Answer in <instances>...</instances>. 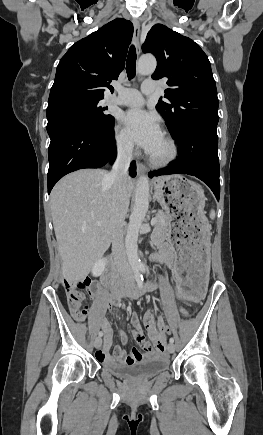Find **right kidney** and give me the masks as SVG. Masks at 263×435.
Wrapping results in <instances>:
<instances>
[{
    "instance_id": "1",
    "label": "right kidney",
    "mask_w": 263,
    "mask_h": 435,
    "mask_svg": "<svg viewBox=\"0 0 263 435\" xmlns=\"http://www.w3.org/2000/svg\"><path fill=\"white\" fill-rule=\"evenodd\" d=\"M106 263H107L106 258L98 259L92 267V275L95 277L100 276L105 270Z\"/></svg>"
}]
</instances>
